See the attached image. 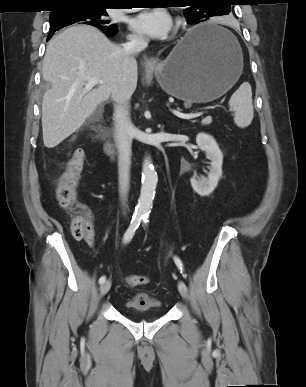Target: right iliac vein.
I'll use <instances>...</instances> for the list:
<instances>
[{"label": "right iliac vein", "instance_id": "right-iliac-vein-1", "mask_svg": "<svg viewBox=\"0 0 306 387\" xmlns=\"http://www.w3.org/2000/svg\"><path fill=\"white\" fill-rule=\"evenodd\" d=\"M110 287H111V281L110 280L105 281L100 287V296H104L105 294H107L108 291L110 290Z\"/></svg>", "mask_w": 306, "mask_h": 387}]
</instances>
